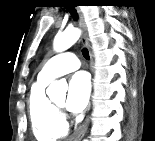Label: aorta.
Listing matches in <instances>:
<instances>
[{
  "label": "aorta",
  "mask_w": 155,
  "mask_h": 141,
  "mask_svg": "<svg viewBox=\"0 0 155 141\" xmlns=\"http://www.w3.org/2000/svg\"><path fill=\"white\" fill-rule=\"evenodd\" d=\"M81 31L78 28L70 27L62 33H58L53 41V48L56 52H62L70 48L80 37ZM67 84L64 81H54L47 89V95L51 100L65 98Z\"/></svg>",
  "instance_id": "obj_1"
}]
</instances>
